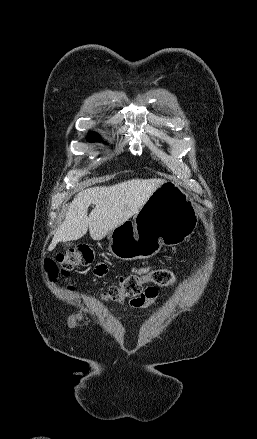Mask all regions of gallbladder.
<instances>
[{"label": "gallbladder", "mask_w": 257, "mask_h": 439, "mask_svg": "<svg viewBox=\"0 0 257 439\" xmlns=\"http://www.w3.org/2000/svg\"><path fill=\"white\" fill-rule=\"evenodd\" d=\"M71 245H73V244H72V243H70V242H69V243H65V244H64V246H66V247H70Z\"/></svg>", "instance_id": "bac80fb5"}]
</instances>
